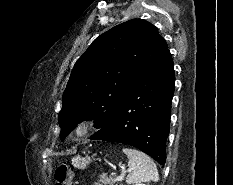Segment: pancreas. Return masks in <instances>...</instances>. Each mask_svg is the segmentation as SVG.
<instances>
[{
    "mask_svg": "<svg viewBox=\"0 0 233 185\" xmlns=\"http://www.w3.org/2000/svg\"><path fill=\"white\" fill-rule=\"evenodd\" d=\"M99 182H101L100 185H114L117 180L114 177H108L106 175H101L99 177ZM115 185H123V184H115Z\"/></svg>",
    "mask_w": 233,
    "mask_h": 185,
    "instance_id": "cf45deb5",
    "label": "pancreas"
}]
</instances>
